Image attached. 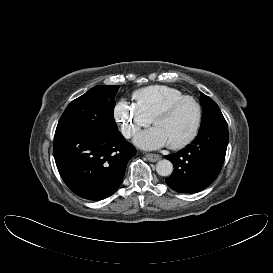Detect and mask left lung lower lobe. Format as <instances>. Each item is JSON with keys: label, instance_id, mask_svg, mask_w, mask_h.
Listing matches in <instances>:
<instances>
[{"label": "left lung lower lobe", "instance_id": "1", "mask_svg": "<svg viewBox=\"0 0 273 273\" xmlns=\"http://www.w3.org/2000/svg\"><path fill=\"white\" fill-rule=\"evenodd\" d=\"M229 141L228 127L199 132L191 144L177 154L165 156L174 165L167 185L179 193H196L218 176Z\"/></svg>", "mask_w": 273, "mask_h": 273}]
</instances>
